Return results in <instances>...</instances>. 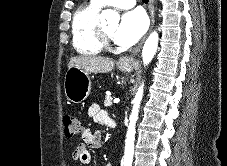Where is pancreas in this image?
Instances as JSON below:
<instances>
[{"instance_id": "pancreas-1", "label": "pancreas", "mask_w": 227, "mask_h": 166, "mask_svg": "<svg viewBox=\"0 0 227 166\" xmlns=\"http://www.w3.org/2000/svg\"><path fill=\"white\" fill-rule=\"evenodd\" d=\"M113 98L111 96H106L104 101L105 107H110L112 105Z\"/></svg>"}]
</instances>
